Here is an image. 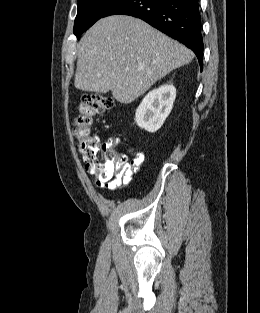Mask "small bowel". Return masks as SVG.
I'll list each match as a JSON object with an SVG mask.
<instances>
[{
    "label": "small bowel",
    "instance_id": "obj_1",
    "mask_svg": "<svg viewBox=\"0 0 260 313\" xmlns=\"http://www.w3.org/2000/svg\"><path fill=\"white\" fill-rule=\"evenodd\" d=\"M134 156L135 157L132 161V164L125 169L124 173L121 176L107 183L97 182L98 187L106 188L110 192H114L118 187L130 184L133 169H136L137 166H139L143 161V154L141 152H135Z\"/></svg>",
    "mask_w": 260,
    "mask_h": 313
}]
</instances>
